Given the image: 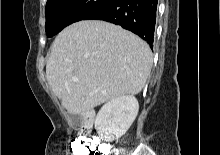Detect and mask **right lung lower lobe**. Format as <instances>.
<instances>
[{"label": "right lung lower lobe", "instance_id": "right-lung-lower-lobe-1", "mask_svg": "<svg viewBox=\"0 0 220 155\" xmlns=\"http://www.w3.org/2000/svg\"><path fill=\"white\" fill-rule=\"evenodd\" d=\"M157 2V0H114L84 20H104L120 25L140 36L152 47Z\"/></svg>", "mask_w": 220, "mask_h": 155}]
</instances>
